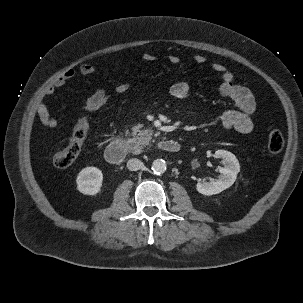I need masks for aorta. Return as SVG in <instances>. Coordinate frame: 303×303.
I'll return each mask as SVG.
<instances>
[{
    "label": "aorta",
    "mask_w": 303,
    "mask_h": 303,
    "mask_svg": "<svg viewBox=\"0 0 303 303\" xmlns=\"http://www.w3.org/2000/svg\"><path fill=\"white\" fill-rule=\"evenodd\" d=\"M167 164L163 159H156L152 163V170L155 174H162L166 171Z\"/></svg>",
    "instance_id": "1"
}]
</instances>
